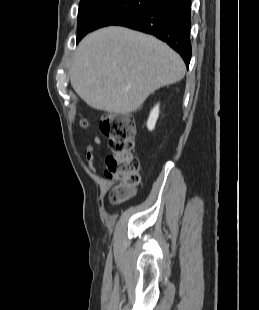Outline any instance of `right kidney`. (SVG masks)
<instances>
[{
	"mask_svg": "<svg viewBox=\"0 0 259 310\" xmlns=\"http://www.w3.org/2000/svg\"><path fill=\"white\" fill-rule=\"evenodd\" d=\"M159 116V104H157L150 112L148 121H147V127L150 131H152L155 128L156 121Z\"/></svg>",
	"mask_w": 259,
	"mask_h": 310,
	"instance_id": "right-kidney-1",
	"label": "right kidney"
}]
</instances>
